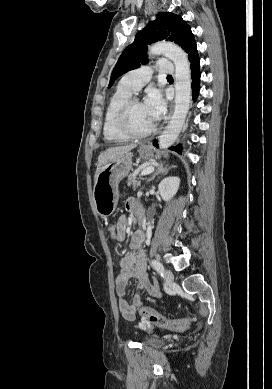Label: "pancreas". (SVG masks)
<instances>
[{
	"label": "pancreas",
	"mask_w": 272,
	"mask_h": 389,
	"mask_svg": "<svg viewBox=\"0 0 272 389\" xmlns=\"http://www.w3.org/2000/svg\"><path fill=\"white\" fill-rule=\"evenodd\" d=\"M143 168L138 169L134 173L128 175V185H132L134 188L140 185V181L137 180V174Z\"/></svg>",
	"instance_id": "cf45deb5"
}]
</instances>
